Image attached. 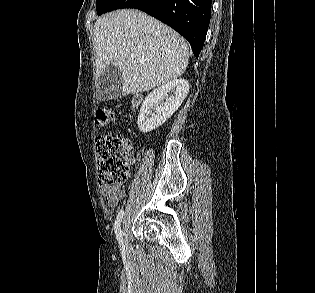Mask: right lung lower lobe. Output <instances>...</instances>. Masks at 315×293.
I'll return each instance as SVG.
<instances>
[{"instance_id": "right-lung-lower-lobe-1", "label": "right lung lower lobe", "mask_w": 315, "mask_h": 293, "mask_svg": "<svg viewBox=\"0 0 315 293\" xmlns=\"http://www.w3.org/2000/svg\"><path fill=\"white\" fill-rule=\"evenodd\" d=\"M211 3L212 0H114L106 12L122 8L142 10L185 37L198 58L209 26Z\"/></svg>"}]
</instances>
